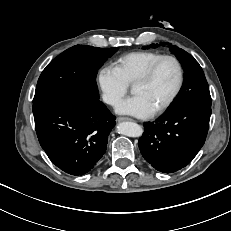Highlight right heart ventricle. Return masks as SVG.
<instances>
[{
    "label": "right heart ventricle",
    "mask_w": 231,
    "mask_h": 231,
    "mask_svg": "<svg viewBox=\"0 0 231 231\" xmlns=\"http://www.w3.org/2000/svg\"><path fill=\"white\" fill-rule=\"evenodd\" d=\"M162 54L152 51H134L127 53L114 62V68L129 85Z\"/></svg>",
    "instance_id": "obj_1"
}]
</instances>
